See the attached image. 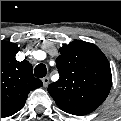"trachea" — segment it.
Masks as SVG:
<instances>
[{
	"instance_id": "1",
	"label": "trachea",
	"mask_w": 121,
	"mask_h": 121,
	"mask_svg": "<svg viewBox=\"0 0 121 121\" xmlns=\"http://www.w3.org/2000/svg\"><path fill=\"white\" fill-rule=\"evenodd\" d=\"M47 74V68L44 64H38L35 67V76L38 78H42Z\"/></svg>"
}]
</instances>
